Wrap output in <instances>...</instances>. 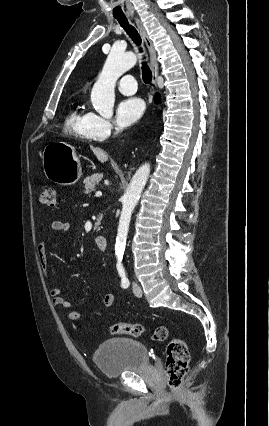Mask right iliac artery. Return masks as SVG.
Returning a JSON list of instances; mask_svg holds the SVG:
<instances>
[{"instance_id":"obj_1","label":"right iliac artery","mask_w":269,"mask_h":426,"mask_svg":"<svg viewBox=\"0 0 269 426\" xmlns=\"http://www.w3.org/2000/svg\"><path fill=\"white\" fill-rule=\"evenodd\" d=\"M118 272H119V275L121 277V286L123 288H128L129 285H130V282H129L128 278L125 276L124 270L122 268L118 267Z\"/></svg>"}]
</instances>
